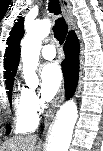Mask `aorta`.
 Segmentation results:
<instances>
[{
  "label": "aorta",
  "mask_w": 103,
  "mask_h": 151,
  "mask_svg": "<svg viewBox=\"0 0 103 151\" xmlns=\"http://www.w3.org/2000/svg\"><path fill=\"white\" fill-rule=\"evenodd\" d=\"M48 19L36 20L26 29L21 42V61L25 77L33 76L38 66L42 40L49 35ZM78 118L77 105L73 100L63 104L57 113L46 151H68L73 129Z\"/></svg>",
  "instance_id": "aorta-1"
}]
</instances>
